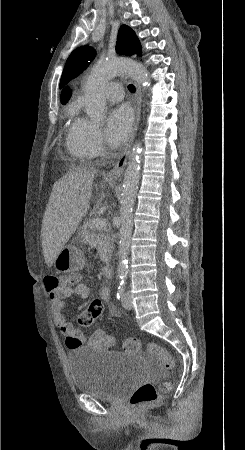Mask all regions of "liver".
<instances>
[{
    "label": "liver",
    "instance_id": "6515ba94",
    "mask_svg": "<svg viewBox=\"0 0 245 450\" xmlns=\"http://www.w3.org/2000/svg\"><path fill=\"white\" fill-rule=\"evenodd\" d=\"M95 173V169H73L53 185L41 228L43 255L48 267L53 265L87 214Z\"/></svg>",
    "mask_w": 245,
    "mask_h": 450
}]
</instances>
